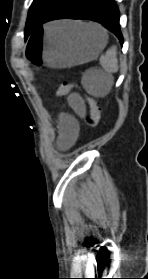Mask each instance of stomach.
<instances>
[{"label":"stomach","mask_w":148,"mask_h":279,"mask_svg":"<svg viewBox=\"0 0 148 279\" xmlns=\"http://www.w3.org/2000/svg\"><path fill=\"white\" fill-rule=\"evenodd\" d=\"M94 30L83 24L56 22L40 24L46 29L44 34H29L35 39L26 44L25 55L31 72H42V69H72V66L89 62L98 57L107 44L108 36L98 25ZM59 30L52 32L50 29Z\"/></svg>","instance_id":"1"}]
</instances>
